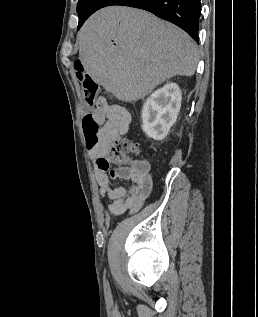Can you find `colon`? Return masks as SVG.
I'll list each match as a JSON object with an SVG mask.
<instances>
[{"label": "colon", "mask_w": 258, "mask_h": 317, "mask_svg": "<svg viewBox=\"0 0 258 317\" xmlns=\"http://www.w3.org/2000/svg\"><path fill=\"white\" fill-rule=\"evenodd\" d=\"M77 78L82 84V90L88 107L82 119V129L85 143L89 149L97 148L103 141L105 124L103 116L92 109L95 105L98 93L97 83L84 71L79 61L74 63ZM138 145L127 138H116L109 145L110 158L118 163H125L129 160V155L137 153Z\"/></svg>", "instance_id": "obj_1"}]
</instances>
